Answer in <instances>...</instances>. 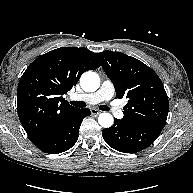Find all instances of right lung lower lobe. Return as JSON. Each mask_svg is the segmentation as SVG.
<instances>
[{"mask_svg": "<svg viewBox=\"0 0 193 193\" xmlns=\"http://www.w3.org/2000/svg\"><path fill=\"white\" fill-rule=\"evenodd\" d=\"M89 115V109H78L51 134L35 143V145L41 151L49 154H58L70 149L78 139L79 128L83 118Z\"/></svg>", "mask_w": 193, "mask_h": 193, "instance_id": "98d812e1", "label": "right lung lower lobe"}]
</instances>
